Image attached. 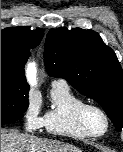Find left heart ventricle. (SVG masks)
Wrapping results in <instances>:
<instances>
[{
    "label": "left heart ventricle",
    "mask_w": 123,
    "mask_h": 152,
    "mask_svg": "<svg viewBox=\"0 0 123 152\" xmlns=\"http://www.w3.org/2000/svg\"><path fill=\"white\" fill-rule=\"evenodd\" d=\"M88 128L94 133H101L105 129L104 118L95 110H89L85 117Z\"/></svg>",
    "instance_id": "obj_1"
}]
</instances>
